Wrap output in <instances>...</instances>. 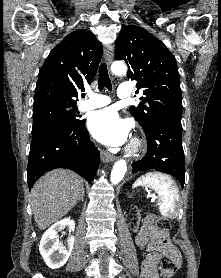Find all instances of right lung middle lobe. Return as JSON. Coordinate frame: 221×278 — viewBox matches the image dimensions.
<instances>
[{"label":"right lung middle lobe","mask_w":221,"mask_h":278,"mask_svg":"<svg viewBox=\"0 0 221 278\" xmlns=\"http://www.w3.org/2000/svg\"><path fill=\"white\" fill-rule=\"evenodd\" d=\"M75 103L50 101L34 105L32 135L53 126L74 127L82 123Z\"/></svg>","instance_id":"obj_1"}]
</instances>
